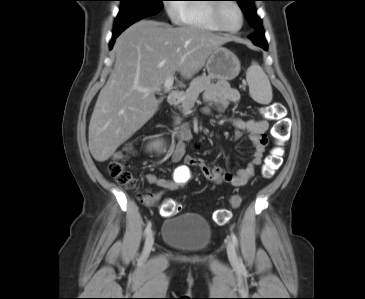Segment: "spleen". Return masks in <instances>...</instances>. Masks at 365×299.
<instances>
[{
  "mask_svg": "<svg viewBox=\"0 0 365 299\" xmlns=\"http://www.w3.org/2000/svg\"><path fill=\"white\" fill-rule=\"evenodd\" d=\"M246 80L249 92L254 101L260 104H269L272 100V87L263 69L253 62L249 67Z\"/></svg>",
  "mask_w": 365,
  "mask_h": 299,
  "instance_id": "spleen-1",
  "label": "spleen"
}]
</instances>
